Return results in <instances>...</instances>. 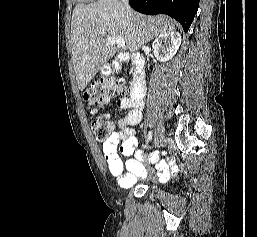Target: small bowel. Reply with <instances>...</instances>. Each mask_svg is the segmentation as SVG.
I'll return each mask as SVG.
<instances>
[{"label":"small bowel","mask_w":257,"mask_h":237,"mask_svg":"<svg viewBox=\"0 0 257 237\" xmlns=\"http://www.w3.org/2000/svg\"><path fill=\"white\" fill-rule=\"evenodd\" d=\"M127 110L125 117L116 122L117 131L102 145V154L110 173L117 179L121 187H131L137 179L145 178L147 168L143 165L146 160L141 151L136 150L137 139L133 126L139 124L142 119L143 100H133L131 97H122L111 104ZM127 157L123 161L119 154ZM135 155V158L130 156ZM156 162L157 155L151 158ZM157 176L161 180L169 179L176 171V166L166 160L157 163Z\"/></svg>","instance_id":"small-bowel-1"}]
</instances>
